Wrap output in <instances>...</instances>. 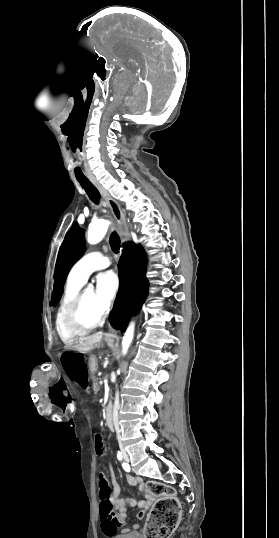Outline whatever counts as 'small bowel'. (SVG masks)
Returning <instances> with one entry per match:
<instances>
[{
  "mask_svg": "<svg viewBox=\"0 0 279 538\" xmlns=\"http://www.w3.org/2000/svg\"><path fill=\"white\" fill-rule=\"evenodd\" d=\"M110 476H111L112 486H113V494L111 497V501L114 504V506L118 509V513L111 518L103 517L102 530L104 534L106 535L116 533L118 530H120L123 533H126L129 531V529L126 526L128 509L138 506L139 510L137 513V517L138 519H142L147 512V508L150 505L151 498L148 492L144 488L143 480L139 477H134L130 474L126 475L127 482L131 486L138 487L141 490V492L145 495V500H141L137 504L135 499L120 498L119 497L120 486L115 479L112 468H110ZM138 527H139L138 524H133L134 529H137Z\"/></svg>",
  "mask_w": 279,
  "mask_h": 538,
  "instance_id": "1",
  "label": "small bowel"
}]
</instances>
